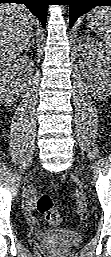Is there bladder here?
Returning <instances> with one entry per match:
<instances>
[{"instance_id":"obj_1","label":"bladder","mask_w":111,"mask_h":257,"mask_svg":"<svg viewBox=\"0 0 111 257\" xmlns=\"http://www.w3.org/2000/svg\"><path fill=\"white\" fill-rule=\"evenodd\" d=\"M41 242L49 245L53 252L64 253L81 242V235L68 230H53L44 233Z\"/></svg>"}]
</instances>
